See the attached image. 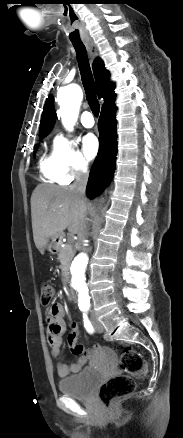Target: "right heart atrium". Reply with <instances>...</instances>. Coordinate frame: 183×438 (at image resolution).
<instances>
[{"instance_id": "d8ad5b80", "label": "right heart atrium", "mask_w": 183, "mask_h": 438, "mask_svg": "<svg viewBox=\"0 0 183 438\" xmlns=\"http://www.w3.org/2000/svg\"><path fill=\"white\" fill-rule=\"evenodd\" d=\"M88 169V163L76 144L58 135L53 144V170L57 181L68 183L82 175Z\"/></svg>"}]
</instances>
